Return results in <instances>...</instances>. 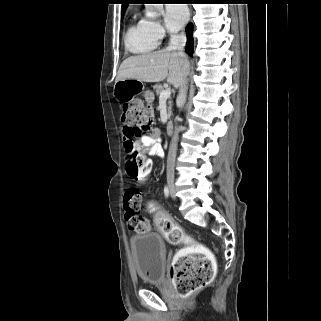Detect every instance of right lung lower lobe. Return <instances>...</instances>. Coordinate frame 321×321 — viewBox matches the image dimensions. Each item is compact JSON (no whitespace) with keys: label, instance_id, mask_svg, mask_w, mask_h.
<instances>
[{"label":"right lung lower lobe","instance_id":"right-lung-lower-lobe-1","mask_svg":"<svg viewBox=\"0 0 321 321\" xmlns=\"http://www.w3.org/2000/svg\"><path fill=\"white\" fill-rule=\"evenodd\" d=\"M192 33H193V26H192V24H189L186 27V34H187L186 52L189 55H192V53H193V36H192Z\"/></svg>","mask_w":321,"mask_h":321}]
</instances>
